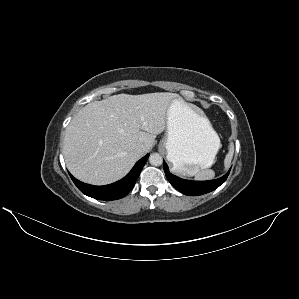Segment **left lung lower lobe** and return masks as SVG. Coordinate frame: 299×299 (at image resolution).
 <instances>
[{"mask_svg": "<svg viewBox=\"0 0 299 299\" xmlns=\"http://www.w3.org/2000/svg\"><path fill=\"white\" fill-rule=\"evenodd\" d=\"M164 171L169 182L181 193L188 196H199L218 188L227 179L230 170L221 178L210 181H189L181 179L169 172L167 164L163 161Z\"/></svg>", "mask_w": 299, "mask_h": 299, "instance_id": "1", "label": "left lung lower lobe"}]
</instances>
